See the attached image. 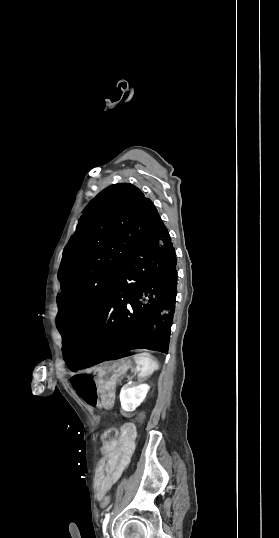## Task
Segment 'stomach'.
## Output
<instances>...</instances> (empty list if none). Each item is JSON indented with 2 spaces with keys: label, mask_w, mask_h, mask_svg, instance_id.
<instances>
[{
  "label": "stomach",
  "mask_w": 279,
  "mask_h": 538,
  "mask_svg": "<svg viewBox=\"0 0 279 538\" xmlns=\"http://www.w3.org/2000/svg\"><path fill=\"white\" fill-rule=\"evenodd\" d=\"M128 362L126 358H112L110 363H98L96 377L98 390L101 399L100 405L107 409L112 405L115 386L113 382H119L120 374H125Z\"/></svg>",
  "instance_id": "obj_1"
}]
</instances>
